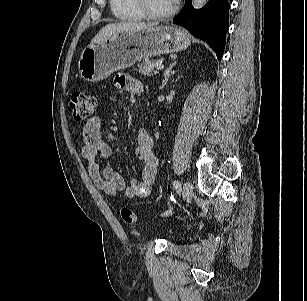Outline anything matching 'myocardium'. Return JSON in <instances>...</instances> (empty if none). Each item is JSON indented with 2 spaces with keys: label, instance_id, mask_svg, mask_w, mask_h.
Instances as JSON below:
<instances>
[{
  "label": "myocardium",
  "instance_id": "f54148a6",
  "mask_svg": "<svg viewBox=\"0 0 307 301\" xmlns=\"http://www.w3.org/2000/svg\"><path fill=\"white\" fill-rule=\"evenodd\" d=\"M134 1H135L137 8L143 14V16L151 20H164V19L170 18L177 12L179 8V3L177 0L174 2L173 7L167 12L155 13L149 8L147 4V0H134Z\"/></svg>",
  "mask_w": 307,
  "mask_h": 301
}]
</instances>
